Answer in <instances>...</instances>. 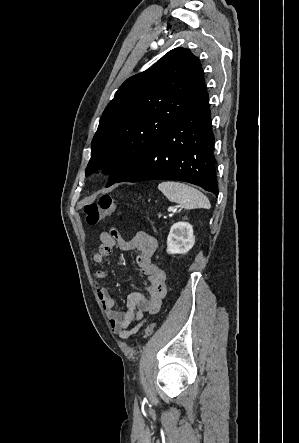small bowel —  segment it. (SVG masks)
I'll return each instance as SVG.
<instances>
[{
	"mask_svg": "<svg viewBox=\"0 0 299 443\" xmlns=\"http://www.w3.org/2000/svg\"><path fill=\"white\" fill-rule=\"evenodd\" d=\"M100 246L93 255L95 263L101 265L105 259L119 250H137V265L147 277L145 291H135L127 296L126 311L116 309V300L105 285L107 272L97 270L94 279L97 283V294L107 311L109 324L113 333L121 339H127L137 333L149 316L157 314L166 294V274L152 259L157 251V240L144 231H137L130 239L123 238L116 229L100 233ZM133 325L131 329L129 326Z\"/></svg>",
	"mask_w": 299,
	"mask_h": 443,
	"instance_id": "c3829d8e",
	"label": "small bowel"
}]
</instances>
